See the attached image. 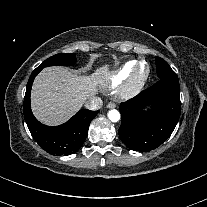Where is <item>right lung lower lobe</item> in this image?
<instances>
[{
	"label": "right lung lower lobe",
	"instance_id": "1",
	"mask_svg": "<svg viewBox=\"0 0 207 207\" xmlns=\"http://www.w3.org/2000/svg\"><path fill=\"white\" fill-rule=\"evenodd\" d=\"M40 69H35L28 81L24 97V118L34 140L48 153L69 155L84 143L91 120L99 111L80 110L65 124L50 127L40 123L32 114L30 93L32 83Z\"/></svg>",
	"mask_w": 207,
	"mask_h": 207
}]
</instances>
